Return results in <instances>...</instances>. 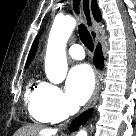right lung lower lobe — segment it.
<instances>
[{"label": "right lung lower lobe", "instance_id": "1", "mask_svg": "<svg viewBox=\"0 0 136 136\" xmlns=\"http://www.w3.org/2000/svg\"><path fill=\"white\" fill-rule=\"evenodd\" d=\"M94 63L98 68H103V54L101 48L98 46L94 56ZM92 114V110L85 112L80 117L76 118L70 126V131L78 130L79 126L84 124Z\"/></svg>", "mask_w": 136, "mask_h": 136}]
</instances>
